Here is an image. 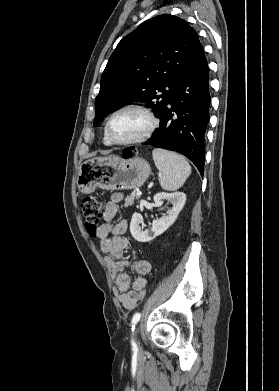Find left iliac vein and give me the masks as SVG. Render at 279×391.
Returning a JSON list of instances; mask_svg holds the SVG:
<instances>
[{"label":"left iliac vein","mask_w":279,"mask_h":391,"mask_svg":"<svg viewBox=\"0 0 279 391\" xmlns=\"http://www.w3.org/2000/svg\"><path fill=\"white\" fill-rule=\"evenodd\" d=\"M138 332H139V329H138V328H136V331H135L136 340H137V335H138ZM137 343H138V345H139V341H138V340H137Z\"/></svg>","instance_id":"left-iliac-vein-1"}]
</instances>
